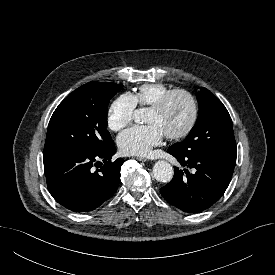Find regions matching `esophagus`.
Wrapping results in <instances>:
<instances>
[{
	"label": "esophagus",
	"mask_w": 275,
	"mask_h": 275,
	"mask_svg": "<svg viewBox=\"0 0 275 275\" xmlns=\"http://www.w3.org/2000/svg\"><path fill=\"white\" fill-rule=\"evenodd\" d=\"M136 159L139 161H143V162L148 161V158H146V157H136Z\"/></svg>",
	"instance_id": "1"
}]
</instances>
